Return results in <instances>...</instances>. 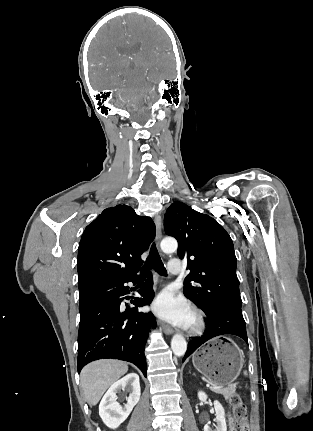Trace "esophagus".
<instances>
[{
  "label": "esophagus",
  "mask_w": 313,
  "mask_h": 431,
  "mask_svg": "<svg viewBox=\"0 0 313 431\" xmlns=\"http://www.w3.org/2000/svg\"><path fill=\"white\" fill-rule=\"evenodd\" d=\"M154 222H155V226H156V241H157V244H159L161 237H162L161 216L156 215L154 218ZM161 328L164 331V333L167 335H171L173 333V329L165 323H161Z\"/></svg>",
  "instance_id": "34e87169"
}]
</instances>
